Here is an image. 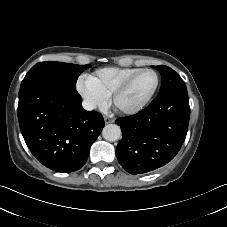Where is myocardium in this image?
<instances>
[{
  "mask_svg": "<svg viewBox=\"0 0 227 227\" xmlns=\"http://www.w3.org/2000/svg\"><path fill=\"white\" fill-rule=\"evenodd\" d=\"M146 72H151L155 75L156 78V82L155 85L152 89V91L150 92V94L147 96V98L138 106L134 107V108H130V109H122L120 107H118L117 105V100L118 98L125 92L128 90V88L131 86L132 82L140 75ZM160 85V77L159 74L150 68H144L141 69L139 71H137L136 73H134L133 75H131L129 78H127L123 83H121L112 93V103L113 105L122 113L124 114H128V115H133V114H137L139 112H141L142 110H144L149 103L152 101L153 97L155 96L158 88Z\"/></svg>",
  "mask_w": 227,
  "mask_h": 227,
  "instance_id": "f54148a6",
  "label": "myocardium"
}]
</instances>
